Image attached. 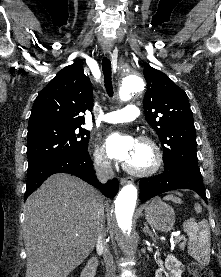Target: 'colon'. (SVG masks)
I'll return each mask as SVG.
<instances>
[{
  "instance_id": "colon-1",
  "label": "colon",
  "mask_w": 221,
  "mask_h": 277,
  "mask_svg": "<svg viewBox=\"0 0 221 277\" xmlns=\"http://www.w3.org/2000/svg\"><path fill=\"white\" fill-rule=\"evenodd\" d=\"M188 270L194 277H213L212 272L196 262L188 264Z\"/></svg>"
}]
</instances>
